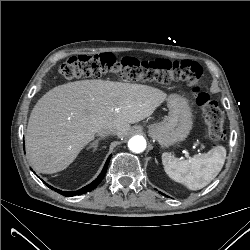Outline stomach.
<instances>
[{
	"mask_svg": "<svg viewBox=\"0 0 250 250\" xmlns=\"http://www.w3.org/2000/svg\"><path fill=\"white\" fill-rule=\"evenodd\" d=\"M168 116L163 121L150 124V135L162 146L168 147L187 138L192 128V113L188 101L179 96L168 98Z\"/></svg>",
	"mask_w": 250,
	"mask_h": 250,
	"instance_id": "0dacf381",
	"label": "stomach"
}]
</instances>
